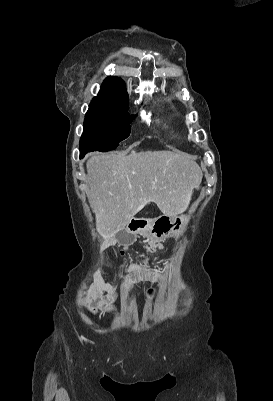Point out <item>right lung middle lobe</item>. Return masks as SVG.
<instances>
[{"label": "right lung middle lobe", "instance_id": "1", "mask_svg": "<svg viewBox=\"0 0 273 401\" xmlns=\"http://www.w3.org/2000/svg\"><path fill=\"white\" fill-rule=\"evenodd\" d=\"M128 107L91 102L85 115L80 152H106L115 149L130 134V122L136 115L127 113Z\"/></svg>", "mask_w": 273, "mask_h": 401}]
</instances>
